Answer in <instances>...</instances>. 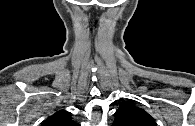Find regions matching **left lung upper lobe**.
Here are the masks:
<instances>
[{
	"mask_svg": "<svg viewBox=\"0 0 195 126\" xmlns=\"http://www.w3.org/2000/svg\"><path fill=\"white\" fill-rule=\"evenodd\" d=\"M113 126H156V122L142 108L131 102H124L115 112Z\"/></svg>",
	"mask_w": 195,
	"mask_h": 126,
	"instance_id": "obj_1",
	"label": "left lung upper lobe"
}]
</instances>
